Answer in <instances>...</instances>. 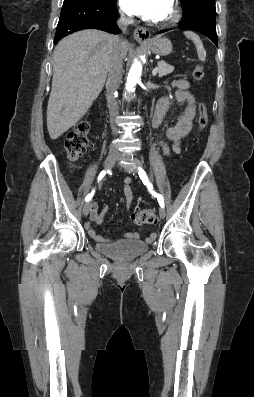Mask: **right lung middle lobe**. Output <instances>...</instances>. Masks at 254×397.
Listing matches in <instances>:
<instances>
[{"mask_svg": "<svg viewBox=\"0 0 254 397\" xmlns=\"http://www.w3.org/2000/svg\"><path fill=\"white\" fill-rule=\"evenodd\" d=\"M97 5H113L116 0H84Z\"/></svg>", "mask_w": 254, "mask_h": 397, "instance_id": "dd1d6c3e", "label": "right lung middle lobe"}]
</instances>
